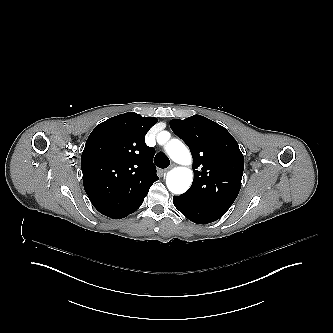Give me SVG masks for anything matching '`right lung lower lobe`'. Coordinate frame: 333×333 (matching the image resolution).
<instances>
[{
	"instance_id": "obj_1",
	"label": "right lung lower lobe",
	"mask_w": 333,
	"mask_h": 333,
	"mask_svg": "<svg viewBox=\"0 0 333 333\" xmlns=\"http://www.w3.org/2000/svg\"><path fill=\"white\" fill-rule=\"evenodd\" d=\"M84 189L94 207L113 219L124 218L144 201L157 175L115 176L104 160L82 168Z\"/></svg>"
}]
</instances>
